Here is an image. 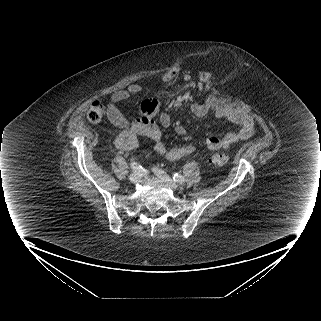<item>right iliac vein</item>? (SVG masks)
Here are the masks:
<instances>
[{
    "label": "right iliac vein",
    "instance_id": "1",
    "mask_svg": "<svg viewBox=\"0 0 321 321\" xmlns=\"http://www.w3.org/2000/svg\"><path fill=\"white\" fill-rule=\"evenodd\" d=\"M140 179V174L138 172H135V173H132L129 177V180L132 182V183H136L138 182Z\"/></svg>",
    "mask_w": 321,
    "mask_h": 321
}]
</instances>
